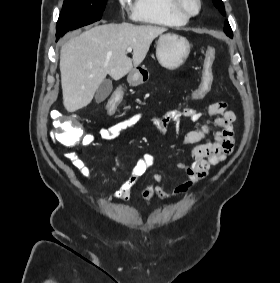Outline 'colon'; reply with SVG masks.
Returning <instances> with one entry per match:
<instances>
[{
	"label": "colon",
	"instance_id": "colon-1",
	"mask_svg": "<svg viewBox=\"0 0 280 283\" xmlns=\"http://www.w3.org/2000/svg\"><path fill=\"white\" fill-rule=\"evenodd\" d=\"M215 59V50L208 47L204 54V70L202 71L198 83L193 87V91L187 97V102H202L207 95H211L212 80L215 71L211 70ZM116 93L111 94V98L106 100L108 115H113V110L123 97V87H116ZM55 130L53 131L54 140L60 145L70 148L75 146L82 136L84 128L77 122L70 119H79V114H60L52 112Z\"/></svg>",
	"mask_w": 280,
	"mask_h": 283
}]
</instances>
